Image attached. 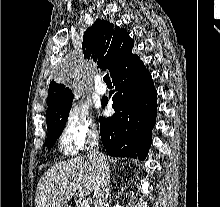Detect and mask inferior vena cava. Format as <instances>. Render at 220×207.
Instances as JSON below:
<instances>
[{
  "label": "inferior vena cava",
  "mask_w": 220,
  "mask_h": 207,
  "mask_svg": "<svg viewBox=\"0 0 220 207\" xmlns=\"http://www.w3.org/2000/svg\"><path fill=\"white\" fill-rule=\"evenodd\" d=\"M87 157L97 171L93 191L95 198L94 207H106L108 206L110 190V168L105 156L99 151V136L96 133L92 134Z\"/></svg>",
  "instance_id": "obj_1"
}]
</instances>
